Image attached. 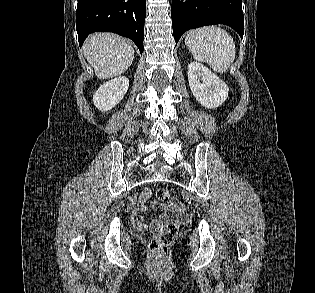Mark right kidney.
Listing matches in <instances>:
<instances>
[{"mask_svg": "<svg viewBox=\"0 0 315 293\" xmlns=\"http://www.w3.org/2000/svg\"><path fill=\"white\" fill-rule=\"evenodd\" d=\"M128 87L129 79L125 76L104 83L93 95L94 105L102 112L111 110L123 99Z\"/></svg>", "mask_w": 315, "mask_h": 293, "instance_id": "right-kidney-1", "label": "right kidney"}]
</instances>
